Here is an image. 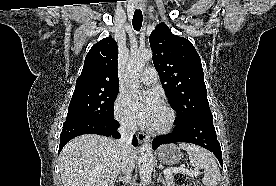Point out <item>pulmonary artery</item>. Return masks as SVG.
Instances as JSON below:
<instances>
[{
	"label": "pulmonary artery",
	"mask_w": 276,
	"mask_h": 186,
	"mask_svg": "<svg viewBox=\"0 0 276 186\" xmlns=\"http://www.w3.org/2000/svg\"><path fill=\"white\" fill-rule=\"evenodd\" d=\"M139 81L146 85H153L158 80V73L153 67H146L138 76Z\"/></svg>",
	"instance_id": "obj_1"
}]
</instances>
